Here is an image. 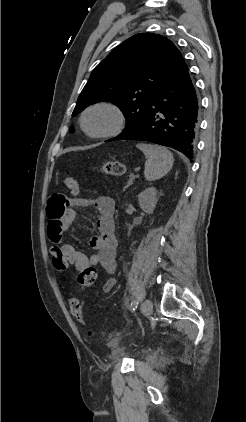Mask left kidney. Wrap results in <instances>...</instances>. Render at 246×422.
<instances>
[{"mask_svg":"<svg viewBox=\"0 0 246 422\" xmlns=\"http://www.w3.org/2000/svg\"><path fill=\"white\" fill-rule=\"evenodd\" d=\"M157 201V190L154 187L146 188L138 195L139 206L147 214L153 213Z\"/></svg>","mask_w":246,"mask_h":422,"instance_id":"obj_1","label":"left kidney"}]
</instances>
